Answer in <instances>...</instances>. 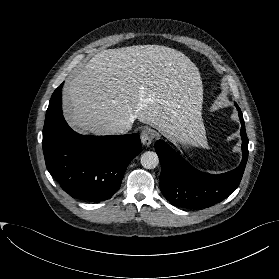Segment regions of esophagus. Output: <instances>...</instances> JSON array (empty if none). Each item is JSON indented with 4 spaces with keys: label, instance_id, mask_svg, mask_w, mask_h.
Returning a JSON list of instances; mask_svg holds the SVG:
<instances>
[{
    "label": "esophagus",
    "instance_id": "34e87169",
    "mask_svg": "<svg viewBox=\"0 0 279 279\" xmlns=\"http://www.w3.org/2000/svg\"><path fill=\"white\" fill-rule=\"evenodd\" d=\"M141 142L143 145H150L154 139V132L150 128H145L140 135Z\"/></svg>",
    "mask_w": 279,
    "mask_h": 279
}]
</instances>
